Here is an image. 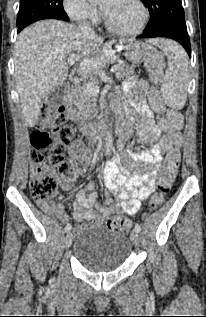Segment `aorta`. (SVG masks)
<instances>
[{
  "label": "aorta",
  "mask_w": 206,
  "mask_h": 317,
  "mask_svg": "<svg viewBox=\"0 0 206 317\" xmlns=\"http://www.w3.org/2000/svg\"><path fill=\"white\" fill-rule=\"evenodd\" d=\"M97 0H89V2H94ZM113 146V138H112V131L108 130L105 137V151L106 154L109 155Z\"/></svg>",
  "instance_id": "obj_1"
}]
</instances>
